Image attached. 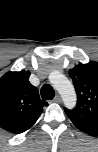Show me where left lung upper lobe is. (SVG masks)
Wrapping results in <instances>:
<instances>
[{"mask_svg": "<svg viewBox=\"0 0 98 152\" xmlns=\"http://www.w3.org/2000/svg\"><path fill=\"white\" fill-rule=\"evenodd\" d=\"M77 93L74 109L64 108L75 126L98 129V63L78 64L69 71Z\"/></svg>", "mask_w": 98, "mask_h": 152, "instance_id": "1", "label": "left lung upper lobe"}]
</instances>
